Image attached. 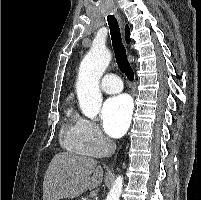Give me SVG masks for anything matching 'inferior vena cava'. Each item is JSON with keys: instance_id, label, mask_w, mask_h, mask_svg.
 <instances>
[{"instance_id": "inferior-vena-cava-1", "label": "inferior vena cava", "mask_w": 201, "mask_h": 200, "mask_svg": "<svg viewBox=\"0 0 201 200\" xmlns=\"http://www.w3.org/2000/svg\"><path fill=\"white\" fill-rule=\"evenodd\" d=\"M106 149L108 156L113 155L116 149V144L109 138L106 139Z\"/></svg>"}]
</instances>
